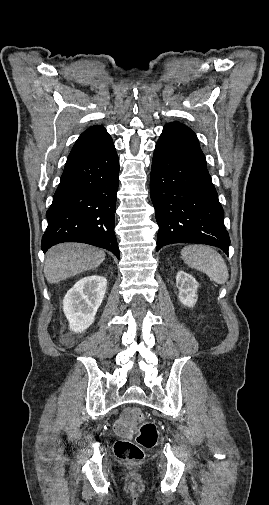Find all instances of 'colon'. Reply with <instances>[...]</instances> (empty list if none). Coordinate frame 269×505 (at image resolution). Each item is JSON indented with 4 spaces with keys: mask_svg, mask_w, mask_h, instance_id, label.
<instances>
[{
    "mask_svg": "<svg viewBox=\"0 0 269 505\" xmlns=\"http://www.w3.org/2000/svg\"><path fill=\"white\" fill-rule=\"evenodd\" d=\"M131 420L139 423L135 440H118L114 445V453L122 461L136 462L143 459L145 449H150L156 444L158 430L153 422L144 420L139 409H132Z\"/></svg>",
    "mask_w": 269,
    "mask_h": 505,
    "instance_id": "obj_1",
    "label": "colon"
}]
</instances>
